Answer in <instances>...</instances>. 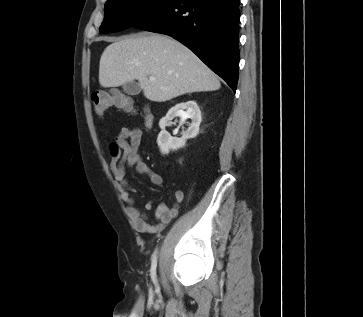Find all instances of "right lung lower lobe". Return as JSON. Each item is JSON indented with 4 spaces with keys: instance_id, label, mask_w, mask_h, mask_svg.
<instances>
[{
    "instance_id": "98d812e1",
    "label": "right lung lower lobe",
    "mask_w": 363,
    "mask_h": 317,
    "mask_svg": "<svg viewBox=\"0 0 363 317\" xmlns=\"http://www.w3.org/2000/svg\"><path fill=\"white\" fill-rule=\"evenodd\" d=\"M240 0H177L135 28L174 37L235 92L239 66Z\"/></svg>"
}]
</instances>
